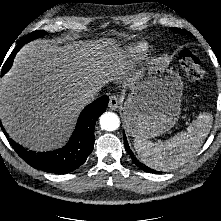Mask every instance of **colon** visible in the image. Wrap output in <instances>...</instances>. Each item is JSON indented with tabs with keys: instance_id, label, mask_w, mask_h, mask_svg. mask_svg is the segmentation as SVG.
<instances>
[{
	"instance_id": "obj_1",
	"label": "colon",
	"mask_w": 221,
	"mask_h": 221,
	"mask_svg": "<svg viewBox=\"0 0 221 221\" xmlns=\"http://www.w3.org/2000/svg\"><path fill=\"white\" fill-rule=\"evenodd\" d=\"M179 62L188 80L193 85H200L205 75L200 58L191 51L184 50L180 53Z\"/></svg>"
}]
</instances>
